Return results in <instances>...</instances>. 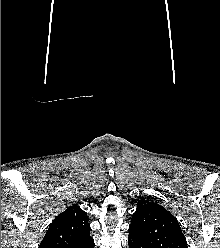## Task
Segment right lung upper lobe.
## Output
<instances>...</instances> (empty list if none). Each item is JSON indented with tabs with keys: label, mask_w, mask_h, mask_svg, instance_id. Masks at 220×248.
Here are the masks:
<instances>
[{
	"label": "right lung upper lobe",
	"mask_w": 220,
	"mask_h": 248,
	"mask_svg": "<svg viewBox=\"0 0 220 248\" xmlns=\"http://www.w3.org/2000/svg\"><path fill=\"white\" fill-rule=\"evenodd\" d=\"M90 230L86 212L73 205L54 219L39 248H79L93 240Z\"/></svg>",
	"instance_id": "right-lung-upper-lobe-1"
}]
</instances>
